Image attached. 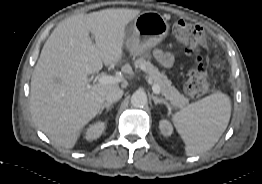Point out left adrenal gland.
Wrapping results in <instances>:
<instances>
[{
	"instance_id": "obj_1",
	"label": "left adrenal gland",
	"mask_w": 262,
	"mask_h": 184,
	"mask_svg": "<svg viewBox=\"0 0 262 184\" xmlns=\"http://www.w3.org/2000/svg\"><path fill=\"white\" fill-rule=\"evenodd\" d=\"M151 97H152L155 105L164 104V105H166L168 108L170 107L169 103H168L167 101H165L164 99L159 98V97H157V96H155V95H153V94L151 95Z\"/></svg>"
}]
</instances>
